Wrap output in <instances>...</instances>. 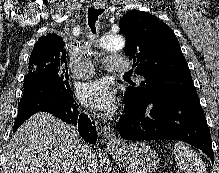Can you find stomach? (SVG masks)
<instances>
[{
  "label": "stomach",
  "instance_id": "1",
  "mask_svg": "<svg viewBox=\"0 0 219 173\" xmlns=\"http://www.w3.org/2000/svg\"><path fill=\"white\" fill-rule=\"evenodd\" d=\"M109 150L127 173H152L159 163L158 154L145 142L120 143Z\"/></svg>",
  "mask_w": 219,
  "mask_h": 173
}]
</instances>
